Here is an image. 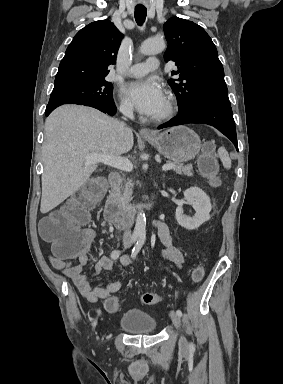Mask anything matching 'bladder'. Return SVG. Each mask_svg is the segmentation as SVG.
<instances>
[{"mask_svg": "<svg viewBox=\"0 0 283 384\" xmlns=\"http://www.w3.org/2000/svg\"><path fill=\"white\" fill-rule=\"evenodd\" d=\"M158 326L159 323L152 313L137 307L125 309L118 322V327L132 336L152 335Z\"/></svg>", "mask_w": 283, "mask_h": 384, "instance_id": "1", "label": "bladder"}]
</instances>
